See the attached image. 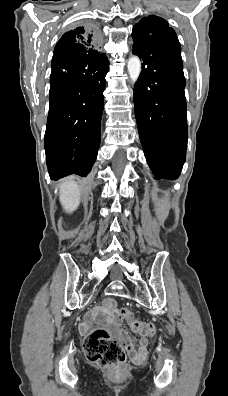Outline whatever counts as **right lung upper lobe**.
<instances>
[{
	"label": "right lung upper lobe",
	"mask_w": 228,
	"mask_h": 396,
	"mask_svg": "<svg viewBox=\"0 0 228 396\" xmlns=\"http://www.w3.org/2000/svg\"><path fill=\"white\" fill-rule=\"evenodd\" d=\"M98 38L93 30L86 27H77L66 32L55 46L54 54L70 49L82 51L99 50Z\"/></svg>",
	"instance_id": "obj_1"
}]
</instances>
